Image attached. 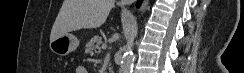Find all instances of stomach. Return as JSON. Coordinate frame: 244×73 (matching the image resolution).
I'll use <instances>...</instances> for the list:
<instances>
[{
  "mask_svg": "<svg viewBox=\"0 0 244 73\" xmlns=\"http://www.w3.org/2000/svg\"><path fill=\"white\" fill-rule=\"evenodd\" d=\"M79 46V40L73 34H64L50 42V50L59 56H66L75 51Z\"/></svg>",
  "mask_w": 244,
  "mask_h": 73,
  "instance_id": "stomach-1",
  "label": "stomach"
}]
</instances>
